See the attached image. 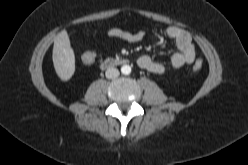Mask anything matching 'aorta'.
<instances>
[{"label": "aorta", "mask_w": 248, "mask_h": 165, "mask_svg": "<svg viewBox=\"0 0 248 165\" xmlns=\"http://www.w3.org/2000/svg\"><path fill=\"white\" fill-rule=\"evenodd\" d=\"M121 72H122V74H124V75H128V74L131 73V67H130L129 65H123V66L121 67Z\"/></svg>", "instance_id": "aorta-1"}]
</instances>
